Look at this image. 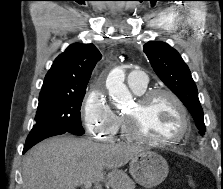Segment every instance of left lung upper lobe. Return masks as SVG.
<instances>
[{
    "instance_id": "obj_1",
    "label": "left lung upper lobe",
    "mask_w": 223,
    "mask_h": 189,
    "mask_svg": "<svg viewBox=\"0 0 223 189\" xmlns=\"http://www.w3.org/2000/svg\"><path fill=\"white\" fill-rule=\"evenodd\" d=\"M143 50L157 76L188 108L203 135L205 132L204 114L197 87L182 57L164 42H148Z\"/></svg>"
}]
</instances>
